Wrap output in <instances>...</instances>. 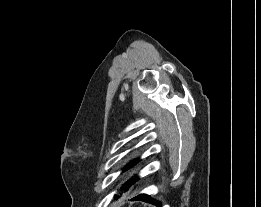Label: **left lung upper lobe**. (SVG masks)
Listing matches in <instances>:
<instances>
[{"mask_svg":"<svg viewBox=\"0 0 261 207\" xmlns=\"http://www.w3.org/2000/svg\"><path fill=\"white\" fill-rule=\"evenodd\" d=\"M138 161H139V159H136V160L132 161L131 163H129V164L126 166L125 170H127V169L133 167L135 164H137ZM138 180H139L138 177H136V178L133 177V178L130 179L128 182H126V183L121 187V189L124 190V191L128 190V188H129L132 184H134L136 181H138ZM115 197L117 198V196H115Z\"/></svg>","mask_w":261,"mask_h":207,"instance_id":"obj_1","label":"left lung upper lobe"}]
</instances>
